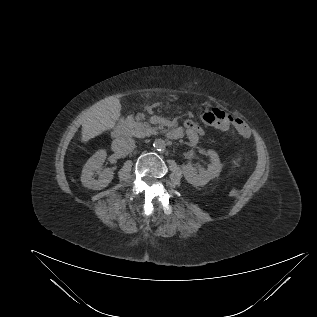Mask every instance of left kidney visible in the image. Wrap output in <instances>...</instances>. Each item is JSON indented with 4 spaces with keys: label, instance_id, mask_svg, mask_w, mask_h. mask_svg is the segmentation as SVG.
<instances>
[{
    "label": "left kidney",
    "instance_id": "5707ae66",
    "mask_svg": "<svg viewBox=\"0 0 317 317\" xmlns=\"http://www.w3.org/2000/svg\"><path fill=\"white\" fill-rule=\"evenodd\" d=\"M207 155L211 160L207 170H201L199 173H197L195 167H193L191 164H186L182 167L185 179L193 186H203L211 179L218 177L221 172L222 165L220 163L218 154L214 150H208Z\"/></svg>",
    "mask_w": 317,
    "mask_h": 317
}]
</instances>
